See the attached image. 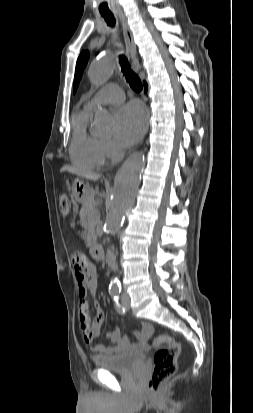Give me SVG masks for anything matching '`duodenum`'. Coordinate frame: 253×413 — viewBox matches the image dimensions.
<instances>
[{
    "mask_svg": "<svg viewBox=\"0 0 253 413\" xmlns=\"http://www.w3.org/2000/svg\"><path fill=\"white\" fill-rule=\"evenodd\" d=\"M90 253L97 260H102L104 258V255H105L104 250L100 245L91 246Z\"/></svg>",
    "mask_w": 253,
    "mask_h": 413,
    "instance_id": "1",
    "label": "duodenum"
}]
</instances>
